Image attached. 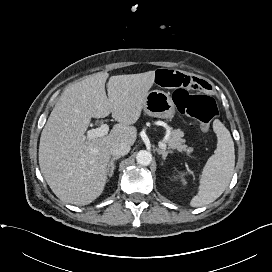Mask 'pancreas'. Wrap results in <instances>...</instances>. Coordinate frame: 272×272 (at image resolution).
<instances>
[{"mask_svg":"<svg viewBox=\"0 0 272 272\" xmlns=\"http://www.w3.org/2000/svg\"><path fill=\"white\" fill-rule=\"evenodd\" d=\"M184 136L183 131L180 129L173 130L170 128L169 136L165 139V143L171 149H177L179 152H185L186 154H191L194 149L185 145L186 140L182 137Z\"/></svg>","mask_w":272,"mask_h":272,"instance_id":"cf45deb5","label":"pancreas"}]
</instances>
